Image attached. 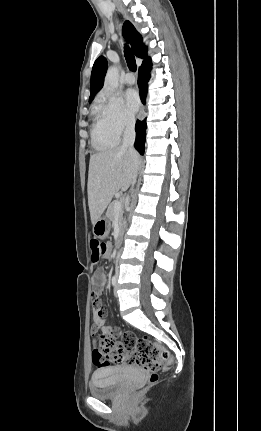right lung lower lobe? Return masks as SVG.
Segmentation results:
<instances>
[{
    "label": "right lung lower lobe",
    "mask_w": 261,
    "mask_h": 431,
    "mask_svg": "<svg viewBox=\"0 0 261 431\" xmlns=\"http://www.w3.org/2000/svg\"><path fill=\"white\" fill-rule=\"evenodd\" d=\"M151 70V60L150 58L146 59L141 67L139 68L138 73V84L141 88L140 97L143 103H145V97L147 92V82L150 78L149 72ZM146 119L143 121L137 120L135 131H136V140H135V148L140 152V154H144V144L146 137Z\"/></svg>",
    "instance_id": "1"
}]
</instances>
